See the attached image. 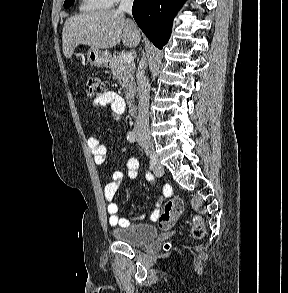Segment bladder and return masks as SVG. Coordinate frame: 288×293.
Masks as SVG:
<instances>
[{
  "mask_svg": "<svg viewBox=\"0 0 288 293\" xmlns=\"http://www.w3.org/2000/svg\"><path fill=\"white\" fill-rule=\"evenodd\" d=\"M111 234L120 242L132 246H140L153 240L157 235V229L149 224H134L115 228Z\"/></svg>",
  "mask_w": 288,
  "mask_h": 293,
  "instance_id": "31cf9c89",
  "label": "bladder"
}]
</instances>
